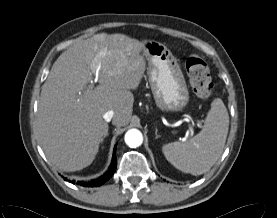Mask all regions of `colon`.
I'll return each mask as SVG.
<instances>
[{"label": "colon", "instance_id": "1", "mask_svg": "<svg viewBox=\"0 0 277 218\" xmlns=\"http://www.w3.org/2000/svg\"><path fill=\"white\" fill-rule=\"evenodd\" d=\"M185 65L193 93L201 100L209 99L213 92V83L205 60L192 54Z\"/></svg>", "mask_w": 277, "mask_h": 218}]
</instances>
